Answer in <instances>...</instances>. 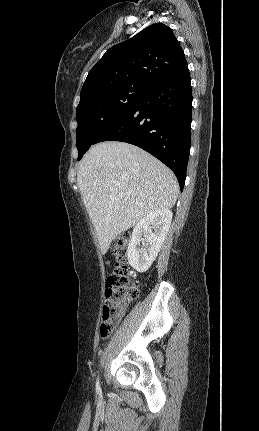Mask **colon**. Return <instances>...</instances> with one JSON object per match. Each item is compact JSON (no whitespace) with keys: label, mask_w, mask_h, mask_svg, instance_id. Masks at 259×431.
Listing matches in <instances>:
<instances>
[{"label":"colon","mask_w":259,"mask_h":431,"mask_svg":"<svg viewBox=\"0 0 259 431\" xmlns=\"http://www.w3.org/2000/svg\"><path fill=\"white\" fill-rule=\"evenodd\" d=\"M130 235L122 234L112 243V253L117 262L105 286V302L102 310L100 334L106 338L124 313L126 304L137 295V283L131 281L125 262Z\"/></svg>","instance_id":"1"}]
</instances>
